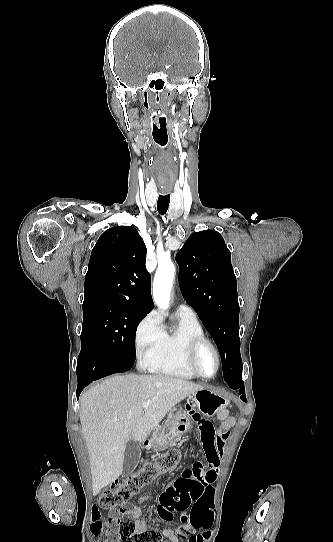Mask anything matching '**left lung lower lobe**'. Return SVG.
Masks as SVG:
<instances>
[{"mask_svg": "<svg viewBox=\"0 0 333 542\" xmlns=\"http://www.w3.org/2000/svg\"><path fill=\"white\" fill-rule=\"evenodd\" d=\"M225 382L229 385L230 388L237 390L241 394V399L246 401L244 383L242 381V375L236 376L234 378L225 379Z\"/></svg>", "mask_w": 333, "mask_h": 542, "instance_id": "0a47b994", "label": "left lung lower lobe"}]
</instances>
